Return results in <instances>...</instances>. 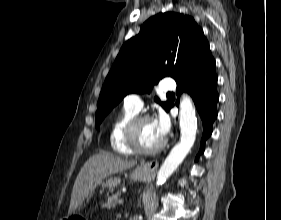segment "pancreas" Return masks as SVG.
<instances>
[{
    "label": "pancreas",
    "mask_w": 281,
    "mask_h": 220,
    "mask_svg": "<svg viewBox=\"0 0 281 220\" xmlns=\"http://www.w3.org/2000/svg\"><path fill=\"white\" fill-rule=\"evenodd\" d=\"M120 196H121V192H117L111 195L110 197H108L107 201L102 206L107 209L115 208Z\"/></svg>",
    "instance_id": "1"
}]
</instances>
